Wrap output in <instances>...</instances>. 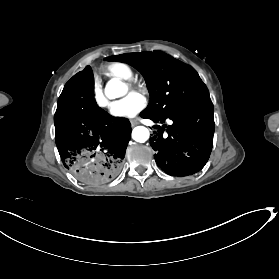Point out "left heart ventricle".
<instances>
[{
    "label": "left heart ventricle",
    "mask_w": 279,
    "mask_h": 279,
    "mask_svg": "<svg viewBox=\"0 0 279 279\" xmlns=\"http://www.w3.org/2000/svg\"><path fill=\"white\" fill-rule=\"evenodd\" d=\"M128 92H129V91H128L127 87L125 86L122 96L128 95Z\"/></svg>",
    "instance_id": "obj_1"
}]
</instances>
